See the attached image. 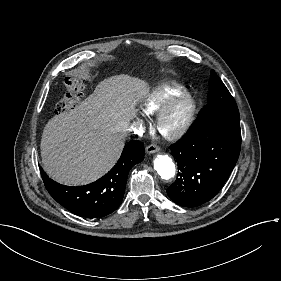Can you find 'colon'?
<instances>
[{
	"mask_svg": "<svg viewBox=\"0 0 281 281\" xmlns=\"http://www.w3.org/2000/svg\"><path fill=\"white\" fill-rule=\"evenodd\" d=\"M65 94L60 98L56 109L60 114L73 110L83 99L84 84L81 78L67 75L64 78Z\"/></svg>",
	"mask_w": 281,
	"mask_h": 281,
	"instance_id": "obj_1",
	"label": "colon"
}]
</instances>
